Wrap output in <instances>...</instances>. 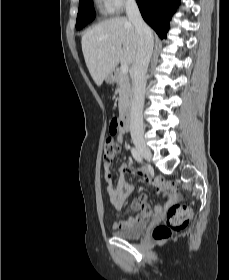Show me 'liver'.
Masks as SVG:
<instances>
[{"mask_svg": "<svg viewBox=\"0 0 229 280\" xmlns=\"http://www.w3.org/2000/svg\"><path fill=\"white\" fill-rule=\"evenodd\" d=\"M81 45L87 68L99 87L120 62H134L138 37L129 19L115 17L88 29L82 36Z\"/></svg>", "mask_w": 229, "mask_h": 280, "instance_id": "obj_1", "label": "liver"}]
</instances>
